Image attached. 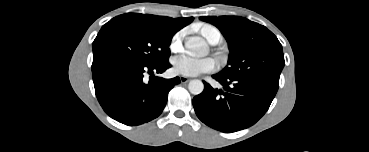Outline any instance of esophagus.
<instances>
[{"mask_svg":"<svg viewBox=\"0 0 369 152\" xmlns=\"http://www.w3.org/2000/svg\"><path fill=\"white\" fill-rule=\"evenodd\" d=\"M190 79L188 77L185 76H180V81L181 83H187Z\"/></svg>","mask_w":369,"mask_h":152,"instance_id":"34e87169","label":"esophagus"}]
</instances>
